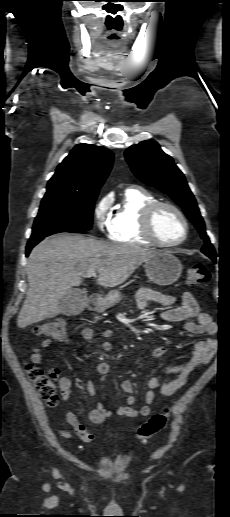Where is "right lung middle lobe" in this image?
<instances>
[{
    "instance_id": "right-lung-middle-lobe-1",
    "label": "right lung middle lobe",
    "mask_w": 230,
    "mask_h": 517,
    "mask_svg": "<svg viewBox=\"0 0 230 517\" xmlns=\"http://www.w3.org/2000/svg\"><path fill=\"white\" fill-rule=\"evenodd\" d=\"M96 194L44 197L29 240L55 233H82L92 227Z\"/></svg>"
}]
</instances>
